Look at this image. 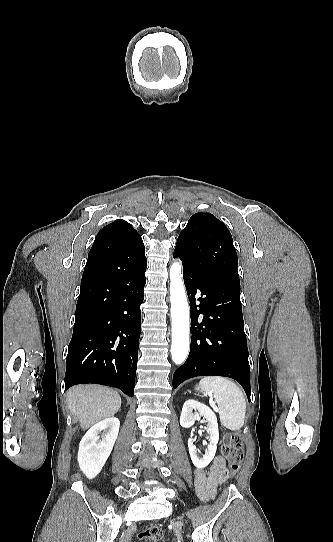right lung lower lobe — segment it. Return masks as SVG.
Wrapping results in <instances>:
<instances>
[{
  "instance_id": "1",
  "label": "right lung lower lobe",
  "mask_w": 333,
  "mask_h": 542,
  "mask_svg": "<svg viewBox=\"0 0 333 542\" xmlns=\"http://www.w3.org/2000/svg\"><path fill=\"white\" fill-rule=\"evenodd\" d=\"M146 266L143 241L89 253L68 347L66 390L96 383L134 395Z\"/></svg>"
}]
</instances>
